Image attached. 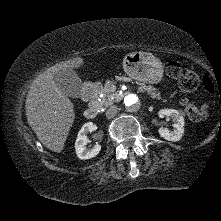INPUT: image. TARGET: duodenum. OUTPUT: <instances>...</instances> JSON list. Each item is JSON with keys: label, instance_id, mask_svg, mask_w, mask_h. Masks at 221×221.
<instances>
[{"label": "duodenum", "instance_id": "1", "mask_svg": "<svg viewBox=\"0 0 221 221\" xmlns=\"http://www.w3.org/2000/svg\"><path fill=\"white\" fill-rule=\"evenodd\" d=\"M102 90L100 83H91L83 89L82 96L89 103L84 111V116L87 119H93L98 114V97Z\"/></svg>", "mask_w": 221, "mask_h": 221}]
</instances>
